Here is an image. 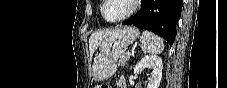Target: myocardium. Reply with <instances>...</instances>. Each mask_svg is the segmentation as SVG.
<instances>
[{"label": "myocardium", "mask_w": 227, "mask_h": 88, "mask_svg": "<svg viewBox=\"0 0 227 88\" xmlns=\"http://www.w3.org/2000/svg\"><path fill=\"white\" fill-rule=\"evenodd\" d=\"M111 1L112 0H103L101 8H100L101 17L107 23H118V22H121V21L127 19L135 12L138 2H139V0H126L127 4H128V10L120 17H117L114 19H109L105 16L104 9Z\"/></svg>", "instance_id": "obj_1"}]
</instances>
